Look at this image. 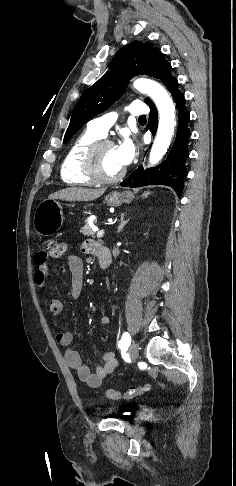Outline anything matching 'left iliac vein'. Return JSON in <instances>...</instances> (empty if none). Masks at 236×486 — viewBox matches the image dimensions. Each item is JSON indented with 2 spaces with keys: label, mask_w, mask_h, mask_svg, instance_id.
I'll return each instance as SVG.
<instances>
[{
  "label": "left iliac vein",
  "mask_w": 236,
  "mask_h": 486,
  "mask_svg": "<svg viewBox=\"0 0 236 486\" xmlns=\"http://www.w3.org/2000/svg\"><path fill=\"white\" fill-rule=\"evenodd\" d=\"M128 354L133 362L137 361L139 349L138 344L136 342H132L128 349Z\"/></svg>",
  "instance_id": "obj_1"
}]
</instances>
